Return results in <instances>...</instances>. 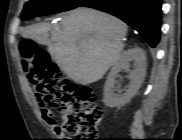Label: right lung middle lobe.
<instances>
[{
	"instance_id": "right-lung-middle-lobe-1",
	"label": "right lung middle lobe",
	"mask_w": 182,
	"mask_h": 140,
	"mask_svg": "<svg viewBox=\"0 0 182 140\" xmlns=\"http://www.w3.org/2000/svg\"><path fill=\"white\" fill-rule=\"evenodd\" d=\"M86 0H30L21 14L22 20H28L37 16L72 10L79 7Z\"/></svg>"
}]
</instances>
